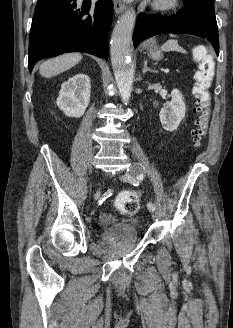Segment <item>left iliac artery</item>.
Masks as SVG:
<instances>
[{"mask_svg":"<svg viewBox=\"0 0 233 328\" xmlns=\"http://www.w3.org/2000/svg\"><path fill=\"white\" fill-rule=\"evenodd\" d=\"M144 179V176H143V174H139V175H137L136 176V178L133 180V185L134 186H138L139 185V183L142 181ZM147 207H148V209L149 210H155V205L152 203V202H149L148 204H147Z\"/></svg>","mask_w":233,"mask_h":328,"instance_id":"left-iliac-artery-1","label":"left iliac artery"}]
</instances>
